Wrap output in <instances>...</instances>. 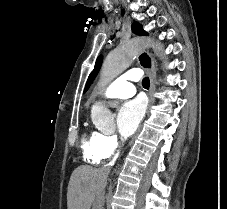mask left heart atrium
<instances>
[{
  "label": "left heart atrium",
  "mask_w": 227,
  "mask_h": 209,
  "mask_svg": "<svg viewBox=\"0 0 227 209\" xmlns=\"http://www.w3.org/2000/svg\"><path fill=\"white\" fill-rule=\"evenodd\" d=\"M145 112L140 99L124 101L119 108L118 128L124 137L133 135Z\"/></svg>",
  "instance_id": "left-heart-atrium-1"
}]
</instances>
